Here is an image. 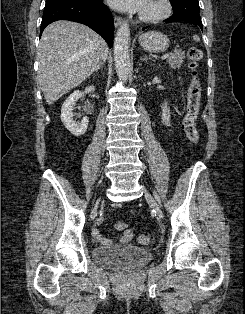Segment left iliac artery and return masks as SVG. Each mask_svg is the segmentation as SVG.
Segmentation results:
<instances>
[{"label":"left iliac artery","instance_id":"obj_1","mask_svg":"<svg viewBox=\"0 0 245 314\" xmlns=\"http://www.w3.org/2000/svg\"><path fill=\"white\" fill-rule=\"evenodd\" d=\"M153 194L155 196V198L157 199L158 202H160L159 196L157 195V193L155 191H153Z\"/></svg>","mask_w":245,"mask_h":314}]
</instances>
